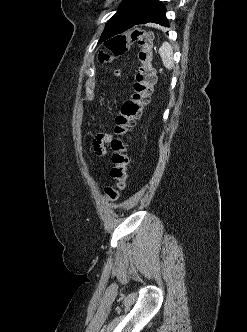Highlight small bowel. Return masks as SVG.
Masks as SVG:
<instances>
[{
    "label": "small bowel",
    "mask_w": 247,
    "mask_h": 332,
    "mask_svg": "<svg viewBox=\"0 0 247 332\" xmlns=\"http://www.w3.org/2000/svg\"><path fill=\"white\" fill-rule=\"evenodd\" d=\"M113 139V136L110 133H97L94 135L92 140V147L96 155L105 156L107 150L105 148V143H110Z\"/></svg>",
    "instance_id": "1"
}]
</instances>
